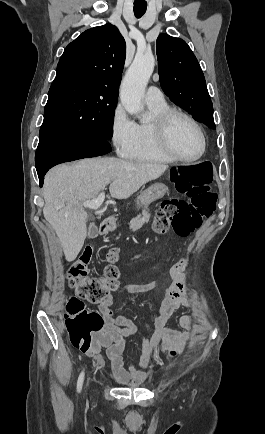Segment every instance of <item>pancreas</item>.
Instances as JSON below:
<instances>
[{"label": "pancreas", "instance_id": "1", "mask_svg": "<svg viewBox=\"0 0 265 434\" xmlns=\"http://www.w3.org/2000/svg\"><path fill=\"white\" fill-rule=\"evenodd\" d=\"M151 218V214L148 212V206H144V210H142V214H139L137 218H133L129 224L130 230L132 232H136V230H139V228H142L144 224H148L149 220Z\"/></svg>", "mask_w": 265, "mask_h": 434}]
</instances>
